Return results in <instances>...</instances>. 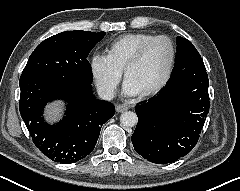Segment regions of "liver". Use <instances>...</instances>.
<instances>
[{
	"mask_svg": "<svg viewBox=\"0 0 240 191\" xmlns=\"http://www.w3.org/2000/svg\"><path fill=\"white\" fill-rule=\"evenodd\" d=\"M62 104L55 103L51 106H48L49 110L47 111V117L46 119L50 122L55 121L56 118L59 116V113L61 112Z\"/></svg>",
	"mask_w": 240,
	"mask_h": 191,
	"instance_id": "liver-1",
	"label": "liver"
}]
</instances>
